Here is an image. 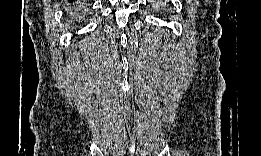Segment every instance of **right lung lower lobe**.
<instances>
[{
	"instance_id": "obj_1",
	"label": "right lung lower lobe",
	"mask_w": 261,
	"mask_h": 156,
	"mask_svg": "<svg viewBox=\"0 0 261 156\" xmlns=\"http://www.w3.org/2000/svg\"><path fill=\"white\" fill-rule=\"evenodd\" d=\"M72 10H77L76 4L72 7Z\"/></svg>"
}]
</instances>
